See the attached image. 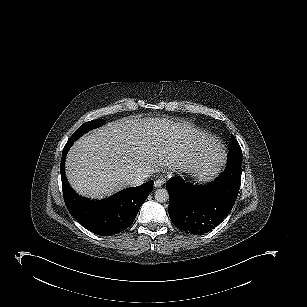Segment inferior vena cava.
<instances>
[{"instance_id": "1", "label": "inferior vena cava", "mask_w": 307, "mask_h": 307, "mask_svg": "<svg viewBox=\"0 0 307 307\" xmlns=\"http://www.w3.org/2000/svg\"><path fill=\"white\" fill-rule=\"evenodd\" d=\"M148 174L147 173H142V174H139L137 175L136 177L132 178L130 181H129V186L131 187H134V186H139L143 183L146 182L147 178H148Z\"/></svg>"}]
</instances>
